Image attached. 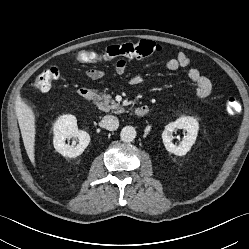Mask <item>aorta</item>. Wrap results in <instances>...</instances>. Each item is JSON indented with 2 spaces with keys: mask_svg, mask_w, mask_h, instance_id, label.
Returning a JSON list of instances; mask_svg holds the SVG:
<instances>
[{
  "mask_svg": "<svg viewBox=\"0 0 249 249\" xmlns=\"http://www.w3.org/2000/svg\"><path fill=\"white\" fill-rule=\"evenodd\" d=\"M121 140L123 142H132L136 137V130L132 126H125L120 133Z\"/></svg>",
  "mask_w": 249,
  "mask_h": 249,
  "instance_id": "1",
  "label": "aorta"
}]
</instances>
